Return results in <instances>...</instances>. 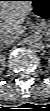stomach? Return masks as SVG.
Here are the masks:
<instances>
[{
	"label": "stomach",
	"mask_w": 50,
	"mask_h": 111,
	"mask_svg": "<svg viewBox=\"0 0 50 111\" xmlns=\"http://www.w3.org/2000/svg\"><path fill=\"white\" fill-rule=\"evenodd\" d=\"M31 13L42 23L50 22V0H32Z\"/></svg>",
	"instance_id": "1"
}]
</instances>
